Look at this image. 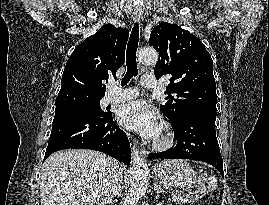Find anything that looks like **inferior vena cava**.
Masks as SVG:
<instances>
[{"label":"inferior vena cava","mask_w":269,"mask_h":205,"mask_svg":"<svg viewBox=\"0 0 269 205\" xmlns=\"http://www.w3.org/2000/svg\"><path fill=\"white\" fill-rule=\"evenodd\" d=\"M123 181L122 168L115 160L110 161L107 169V177L105 182L104 197L102 204L106 205L119 195L121 191V184Z\"/></svg>","instance_id":"602c4592"}]
</instances>
